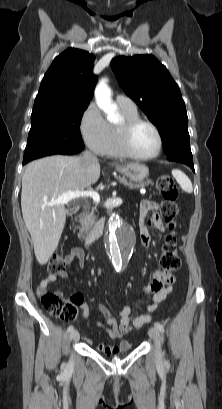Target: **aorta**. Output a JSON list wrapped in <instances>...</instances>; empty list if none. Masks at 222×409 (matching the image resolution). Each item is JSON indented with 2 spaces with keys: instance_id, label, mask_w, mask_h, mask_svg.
I'll list each match as a JSON object with an SVG mask.
<instances>
[{
  "instance_id": "obj_1",
  "label": "aorta",
  "mask_w": 222,
  "mask_h": 409,
  "mask_svg": "<svg viewBox=\"0 0 222 409\" xmlns=\"http://www.w3.org/2000/svg\"><path fill=\"white\" fill-rule=\"evenodd\" d=\"M95 99L98 107L107 115V120L114 122L118 118L117 107L112 103L111 91L105 79L98 83L95 89ZM133 239L132 227L112 214L107 227V245L115 266H120L122 261L131 255Z\"/></svg>"
}]
</instances>
